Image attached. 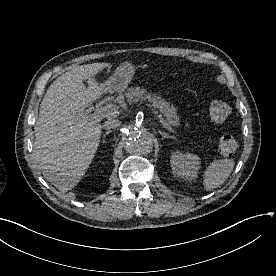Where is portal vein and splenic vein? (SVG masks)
<instances>
[{
    "mask_svg": "<svg viewBox=\"0 0 276 276\" xmlns=\"http://www.w3.org/2000/svg\"><path fill=\"white\" fill-rule=\"evenodd\" d=\"M147 105H148V107L151 108L152 112L159 118L162 125L165 128H167L168 130L172 131V129L170 128V125L165 121L163 116L161 114H159L155 109H153L151 105H149V104H147ZM87 112H89V111L87 110ZM118 113H119V111H118V107L116 105L108 104L104 107L96 108L94 113L89 115V118L92 122L97 123L105 117L117 116Z\"/></svg>",
    "mask_w": 276,
    "mask_h": 276,
    "instance_id": "obj_1",
    "label": "portal vein and splenic vein"
}]
</instances>
